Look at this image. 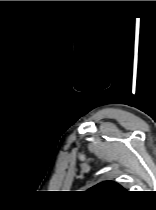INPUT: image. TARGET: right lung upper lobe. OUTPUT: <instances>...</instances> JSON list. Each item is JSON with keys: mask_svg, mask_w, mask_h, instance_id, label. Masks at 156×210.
<instances>
[{"mask_svg": "<svg viewBox=\"0 0 156 210\" xmlns=\"http://www.w3.org/2000/svg\"><path fill=\"white\" fill-rule=\"evenodd\" d=\"M93 192L100 193H118L125 191L122 186L112 181L101 182L90 189Z\"/></svg>", "mask_w": 156, "mask_h": 210, "instance_id": "right-lung-upper-lobe-1", "label": "right lung upper lobe"}]
</instances>
